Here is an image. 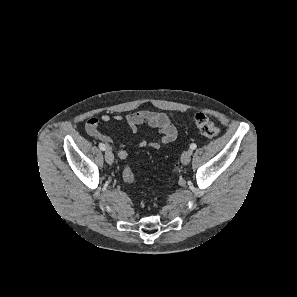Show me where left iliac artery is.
<instances>
[{
	"mask_svg": "<svg viewBox=\"0 0 297 297\" xmlns=\"http://www.w3.org/2000/svg\"><path fill=\"white\" fill-rule=\"evenodd\" d=\"M197 145L195 143L190 144V149L194 150L196 149Z\"/></svg>",
	"mask_w": 297,
	"mask_h": 297,
	"instance_id": "1",
	"label": "left iliac artery"
}]
</instances>
